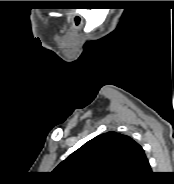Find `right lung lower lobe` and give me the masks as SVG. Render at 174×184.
I'll use <instances>...</instances> for the list:
<instances>
[{
    "mask_svg": "<svg viewBox=\"0 0 174 184\" xmlns=\"http://www.w3.org/2000/svg\"><path fill=\"white\" fill-rule=\"evenodd\" d=\"M151 174V168L149 163L140 171L134 178L122 182L121 184H144L147 183L146 180Z\"/></svg>",
    "mask_w": 174,
    "mask_h": 184,
    "instance_id": "right-lung-lower-lobe-1",
    "label": "right lung lower lobe"
}]
</instances>
